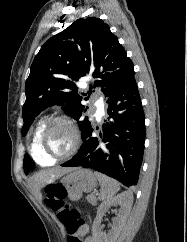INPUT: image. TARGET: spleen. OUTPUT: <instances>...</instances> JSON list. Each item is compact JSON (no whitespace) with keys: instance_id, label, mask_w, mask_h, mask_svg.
I'll use <instances>...</instances> for the list:
<instances>
[{"instance_id":"spleen-1","label":"spleen","mask_w":187,"mask_h":242,"mask_svg":"<svg viewBox=\"0 0 187 242\" xmlns=\"http://www.w3.org/2000/svg\"><path fill=\"white\" fill-rule=\"evenodd\" d=\"M95 177L98 179L101 186V192L99 194V199L102 201L109 200L120 190V186L114 179L99 173H94Z\"/></svg>"}]
</instances>
